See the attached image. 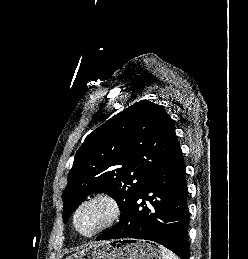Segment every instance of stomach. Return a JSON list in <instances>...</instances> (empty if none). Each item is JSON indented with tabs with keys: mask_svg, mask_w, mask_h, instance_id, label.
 Returning a JSON list of instances; mask_svg holds the SVG:
<instances>
[{
	"mask_svg": "<svg viewBox=\"0 0 248 259\" xmlns=\"http://www.w3.org/2000/svg\"><path fill=\"white\" fill-rule=\"evenodd\" d=\"M66 259H163L157 244L139 239L101 242L86 247Z\"/></svg>",
	"mask_w": 248,
	"mask_h": 259,
	"instance_id": "1",
	"label": "stomach"
}]
</instances>
